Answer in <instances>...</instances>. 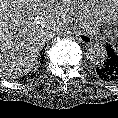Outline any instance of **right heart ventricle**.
<instances>
[{
  "mask_svg": "<svg viewBox=\"0 0 118 118\" xmlns=\"http://www.w3.org/2000/svg\"><path fill=\"white\" fill-rule=\"evenodd\" d=\"M117 0H81L80 14L92 21H113Z\"/></svg>",
  "mask_w": 118,
  "mask_h": 118,
  "instance_id": "e07e8e85",
  "label": "right heart ventricle"
}]
</instances>
